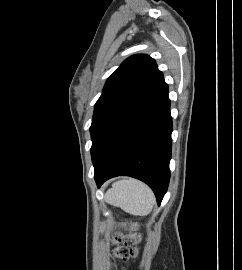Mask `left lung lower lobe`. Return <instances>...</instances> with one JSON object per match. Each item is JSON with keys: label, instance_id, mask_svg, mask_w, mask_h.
<instances>
[{"label": "left lung lower lobe", "instance_id": "left-lung-lower-lobe-1", "mask_svg": "<svg viewBox=\"0 0 242 270\" xmlns=\"http://www.w3.org/2000/svg\"><path fill=\"white\" fill-rule=\"evenodd\" d=\"M172 118L168 85H160L109 131L93 158L100 187L126 175L149 185L160 205L170 179Z\"/></svg>", "mask_w": 242, "mask_h": 270}]
</instances>
